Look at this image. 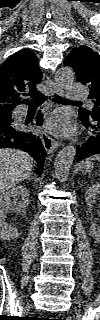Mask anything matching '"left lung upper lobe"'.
<instances>
[{
	"instance_id": "5c2ea615",
	"label": "left lung upper lobe",
	"mask_w": 100,
	"mask_h": 320,
	"mask_svg": "<svg viewBox=\"0 0 100 320\" xmlns=\"http://www.w3.org/2000/svg\"><path fill=\"white\" fill-rule=\"evenodd\" d=\"M76 73L79 82L90 87L89 98L93 100L92 110L81 108L79 115L84 117L100 116V56L87 46L73 49L64 61Z\"/></svg>"
}]
</instances>
